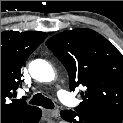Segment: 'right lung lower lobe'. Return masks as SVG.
Instances as JSON below:
<instances>
[{"label": "right lung lower lobe", "instance_id": "98d812e1", "mask_svg": "<svg viewBox=\"0 0 123 123\" xmlns=\"http://www.w3.org/2000/svg\"><path fill=\"white\" fill-rule=\"evenodd\" d=\"M42 112L36 107L27 111L18 113L8 123H38L41 118Z\"/></svg>", "mask_w": 123, "mask_h": 123}]
</instances>
